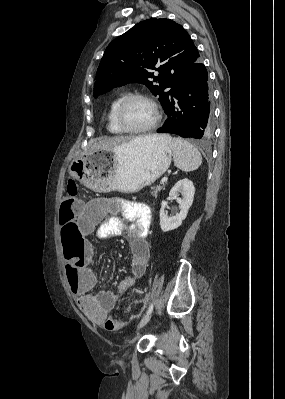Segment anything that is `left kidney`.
<instances>
[{
    "mask_svg": "<svg viewBox=\"0 0 285 399\" xmlns=\"http://www.w3.org/2000/svg\"><path fill=\"white\" fill-rule=\"evenodd\" d=\"M179 193H181L182 195V198H177V203L179 204V207L181 209L179 214L168 217L167 212L165 211L168 202L162 201L161 203L159 216L160 227L163 232L177 229L179 226H181L183 220H185V218L187 217L188 210L194 200L195 187L193 185V182L189 179H182L178 181L170 190L169 196L177 197Z\"/></svg>",
    "mask_w": 285,
    "mask_h": 399,
    "instance_id": "5707ae66",
    "label": "left kidney"
}]
</instances>
